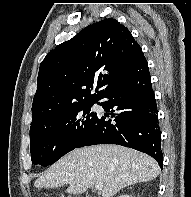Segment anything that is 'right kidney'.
Segmentation results:
<instances>
[{
    "mask_svg": "<svg viewBox=\"0 0 191 197\" xmlns=\"http://www.w3.org/2000/svg\"><path fill=\"white\" fill-rule=\"evenodd\" d=\"M119 197H133V196L124 194V195H121V196H119Z\"/></svg>",
    "mask_w": 191,
    "mask_h": 197,
    "instance_id": "right-kidney-1",
    "label": "right kidney"
}]
</instances>
